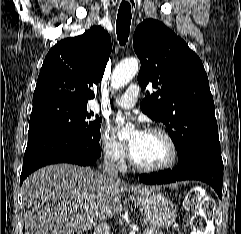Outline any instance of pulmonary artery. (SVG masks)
<instances>
[{
  "label": "pulmonary artery",
  "mask_w": 241,
  "mask_h": 234,
  "mask_svg": "<svg viewBox=\"0 0 241 234\" xmlns=\"http://www.w3.org/2000/svg\"><path fill=\"white\" fill-rule=\"evenodd\" d=\"M139 91V86L136 84H132L128 87V89L123 95L118 96L114 99V103L121 108H132L139 97Z\"/></svg>",
  "instance_id": "obj_1"
}]
</instances>
